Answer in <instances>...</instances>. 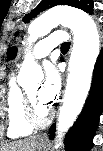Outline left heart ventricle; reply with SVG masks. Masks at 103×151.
Segmentation results:
<instances>
[{"mask_svg":"<svg viewBox=\"0 0 103 151\" xmlns=\"http://www.w3.org/2000/svg\"><path fill=\"white\" fill-rule=\"evenodd\" d=\"M39 88H40L39 84H34V85L29 86L26 89V91L33 102L37 117L44 118L49 110V107L44 106L43 104L39 102L38 100Z\"/></svg>","mask_w":103,"mask_h":151,"instance_id":"b2bd125f","label":"left heart ventricle"}]
</instances>
